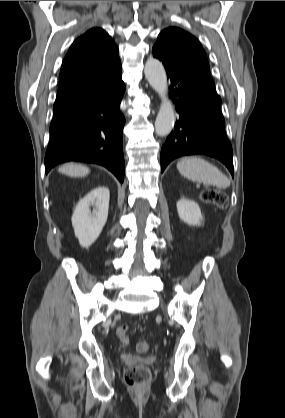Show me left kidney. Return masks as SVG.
<instances>
[{
    "label": "left kidney",
    "mask_w": 285,
    "mask_h": 418,
    "mask_svg": "<svg viewBox=\"0 0 285 418\" xmlns=\"http://www.w3.org/2000/svg\"><path fill=\"white\" fill-rule=\"evenodd\" d=\"M176 206L179 218L183 222L193 226L201 225L203 217L201 214V210L195 201L186 198H181L177 202Z\"/></svg>",
    "instance_id": "5707ae66"
}]
</instances>
